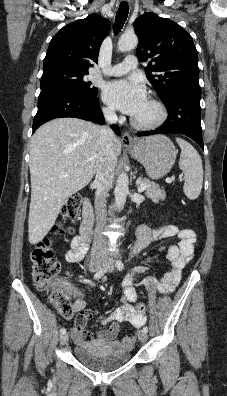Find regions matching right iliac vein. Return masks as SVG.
I'll return each mask as SVG.
<instances>
[{
    "mask_svg": "<svg viewBox=\"0 0 227 396\" xmlns=\"http://www.w3.org/2000/svg\"><path fill=\"white\" fill-rule=\"evenodd\" d=\"M105 263L102 260H93L91 261L89 268L91 271H98L101 270L104 267ZM69 339V333L65 332L61 335L60 337V343L61 345H64L68 342Z\"/></svg>",
    "mask_w": 227,
    "mask_h": 396,
    "instance_id": "right-iliac-vein-1",
    "label": "right iliac vein"
}]
</instances>
